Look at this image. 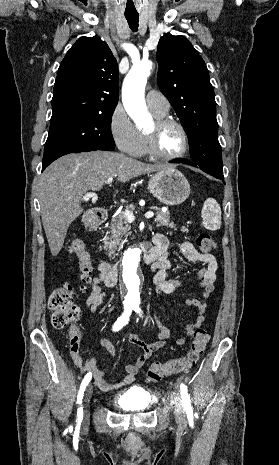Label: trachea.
I'll list each match as a JSON object with an SVG mask.
<instances>
[{
    "label": "trachea",
    "instance_id": "trachea-1",
    "mask_svg": "<svg viewBox=\"0 0 279 465\" xmlns=\"http://www.w3.org/2000/svg\"><path fill=\"white\" fill-rule=\"evenodd\" d=\"M126 19H127V22L129 24V27L133 30V31H137L138 29V22H139V15L138 14H134V15H125Z\"/></svg>",
    "mask_w": 279,
    "mask_h": 465
}]
</instances>
